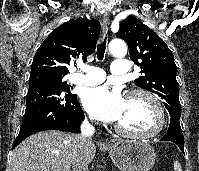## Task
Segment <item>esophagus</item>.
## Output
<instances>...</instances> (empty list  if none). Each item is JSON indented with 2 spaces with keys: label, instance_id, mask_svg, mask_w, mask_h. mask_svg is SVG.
I'll return each instance as SVG.
<instances>
[{
  "label": "esophagus",
  "instance_id": "obj_1",
  "mask_svg": "<svg viewBox=\"0 0 199 171\" xmlns=\"http://www.w3.org/2000/svg\"><path fill=\"white\" fill-rule=\"evenodd\" d=\"M101 24H102L103 30L105 31L108 27V24H109V15L108 14L103 15ZM100 145L105 146V145H107V143L106 142H100Z\"/></svg>",
  "mask_w": 199,
  "mask_h": 171
}]
</instances>
